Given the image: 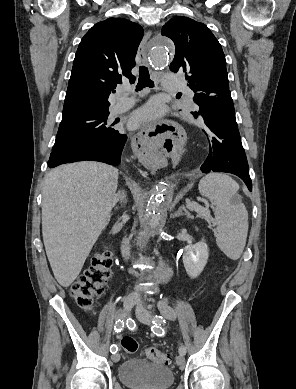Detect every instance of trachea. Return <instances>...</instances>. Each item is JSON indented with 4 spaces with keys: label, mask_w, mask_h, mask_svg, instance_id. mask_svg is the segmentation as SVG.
Instances as JSON below:
<instances>
[{
    "label": "trachea",
    "mask_w": 296,
    "mask_h": 389,
    "mask_svg": "<svg viewBox=\"0 0 296 389\" xmlns=\"http://www.w3.org/2000/svg\"><path fill=\"white\" fill-rule=\"evenodd\" d=\"M145 87H154V82L150 79L148 68L145 66L139 67V79L136 86V91H140Z\"/></svg>",
    "instance_id": "1"
}]
</instances>
